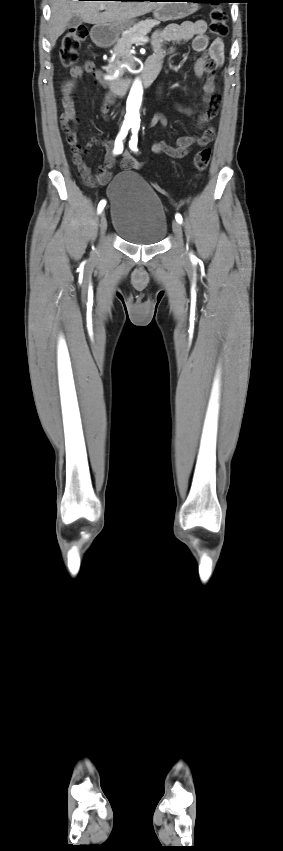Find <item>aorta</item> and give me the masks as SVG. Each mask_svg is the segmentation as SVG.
Masks as SVG:
<instances>
[{
    "label": "aorta",
    "mask_w": 283,
    "mask_h": 851,
    "mask_svg": "<svg viewBox=\"0 0 283 851\" xmlns=\"http://www.w3.org/2000/svg\"><path fill=\"white\" fill-rule=\"evenodd\" d=\"M143 88L141 82L137 79L133 83L128 99H127V114L126 119L130 122L139 121V108L142 101Z\"/></svg>",
    "instance_id": "obj_1"
}]
</instances>
